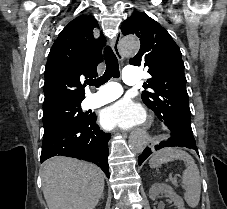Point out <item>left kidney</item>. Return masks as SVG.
Returning a JSON list of instances; mask_svg holds the SVG:
<instances>
[{
	"label": "left kidney",
	"instance_id": "left-kidney-1",
	"mask_svg": "<svg viewBox=\"0 0 227 209\" xmlns=\"http://www.w3.org/2000/svg\"><path fill=\"white\" fill-rule=\"evenodd\" d=\"M159 195L169 197V199L173 201L174 205H176L177 209H185L183 199L174 193L170 185H165V183H154L149 191V199L155 201Z\"/></svg>",
	"mask_w": 227,
	"mask_h": 209
}]
</instances>
